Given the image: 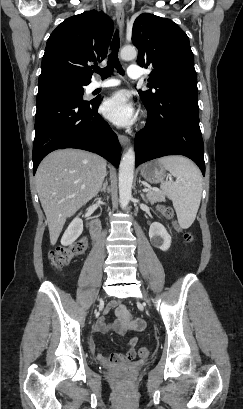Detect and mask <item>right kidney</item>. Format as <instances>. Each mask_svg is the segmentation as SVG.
<instances>
[{
    "instance_id": "1",
    "label": "right kidney",
    "mask_w": 243,
    "mask_h": 409,
    "mask_svg": "<svg viewBox=\"0 0 243 409\" xmlns=\"http://www.w3.org/2000/svg\"><path fill=\"white\" fill-rule=\"evenodd\" d=\"M83 232V221L77 216L67 227L64 232L61 244L63 246L71 245Z\"/></svg>"
}]
</instances>
